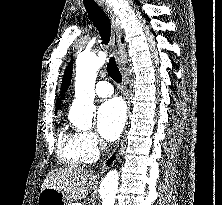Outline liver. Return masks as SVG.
<instances>
[{
  "mask_svg": "<svg viewBox=\"0 0 222 205\" xmlns=\"http://www.w3.org/2000/svg\"><path fill=\"white\" fill-rule=\"evenodd\" d=\"M97 177L93 172L72 165L50 172L42 189L52 188L63 192L69 199H83L96 187Z\"/></svg>",
  "mask_w": 222,
  "mask_h": 205,
  "instance_id": "1",
  "label": "liver"
}]
</instances>
